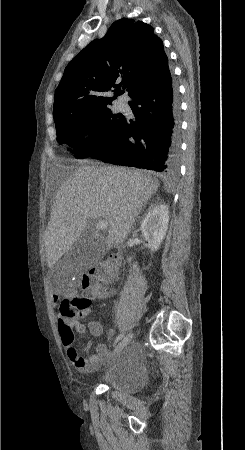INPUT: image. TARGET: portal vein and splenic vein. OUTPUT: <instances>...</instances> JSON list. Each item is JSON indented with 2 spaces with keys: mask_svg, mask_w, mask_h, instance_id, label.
<instances>
[{
  "mask_svg": "<svg viewBox=\"0 0 245 450\" xmlns=\"http://www.w3.org/2000/svg\"><path fill=\"white\" fill-rule=\"evenodd\" d=\"M107 228H108V222L105 220H99L96 223V229H98V230H107Z\"/></svg>",
  "mask_w": 245,
  "mask_h": 450,
  "instance_id": "portal-vein-and-splenic-vein-1",
  "label": "portal vein and splenic vein"
}]
</instances>
